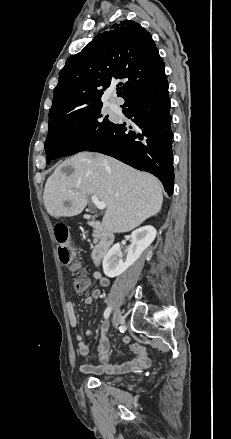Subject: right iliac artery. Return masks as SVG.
Returning <instances> with one entry per match:
<instances>
[{
    "label": "right iliac artery",
    "instance_id": "obj_1",
    "mask_svg": "<svg viewBox=\"0 0 231 439\" xmlns=\"http://www.w3.org/2000/svg\"><path fill=\"white\" fill-rule=\"evenodd\" d=\"M110 312H111V308L108 307L105 311H104V318L107 320L110 316Z\"/></svg>",
    "mask_w": 231,
    "mask_h": 439
}]
</instances>
